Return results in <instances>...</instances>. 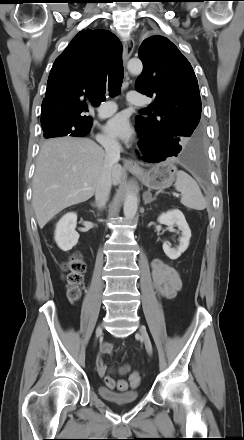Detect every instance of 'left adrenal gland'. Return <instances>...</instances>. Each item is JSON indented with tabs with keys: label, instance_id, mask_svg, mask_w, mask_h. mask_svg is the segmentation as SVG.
Returning a JSON list of instances; mask_svg holds the SVG:
<instances>
[{
	"label": "left adrenal gland",
	"instance_id": "left-adrenal-gland-1",
	"mask_svg": "<svg viewBox=\"0 0 244 440\" xmlns=\"http://www.w3.org/2000/svg\"><path fill=\"white\" fill-rule=\"evenodd\" d=\"M143 200H144V204H150L151 202H153L154 200H156V197L152 198L151 193H146L145 195H143Z\"/></svg>",
	"mask_w": 244,
	"mask_h": 440
}]
</instances>
